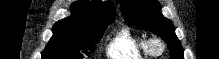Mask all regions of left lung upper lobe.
I'll return each instance as SVG.
<instances>
[{
    "instance_id": "obj_1",
    "label": "left lung upper lobe",
    "mask_w": 219,
    "mask_h": 59,
    "mask_svg": "<svg viewBox=\"0 0 219 59\" xmlns=\"http://www.w3.org/2000/svg\"><path fill=\"white\" fill-rule=\"evenodd\" d=\"M121 11L133 26L160 36L167 44L171 59H183V49L173 23L161 14L157 0H122Z\"/></svg>"
}]
</instances>
